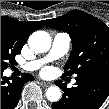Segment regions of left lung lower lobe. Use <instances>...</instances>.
I'll use <instances>...</instances> for the list:
<instances>
[{
  "instance_id": "left-lung-lower-lobe-1",
  "label": "left lung lower lobe",
  "mask_w": 109,
  "mask_h": 109,
  "mask_svg": "<svg viewBox=\"0 0 109 109\" xmlns=\"http://www.w3.org/2000/svg\"><path fill=\"white\" fill-rule=\"evenodd\" d=\"M64 91L53 109H99L109 96V74L90 71L76 77V86L68 89L60 81L55 83Z\"/></svg>"
}]
</instances>
